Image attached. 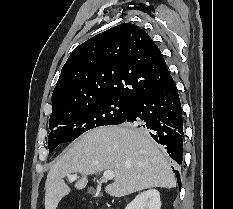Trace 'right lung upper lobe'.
<instances>
[{
    "instance_id": "1",
    "label": "right lung upper lobe",
    "mask_w": 233,
    "mask_h": 209,
    "mask_svg": "<svg viewBox=\"0 0 233 209\" xmlns=\"http://www.w3.org/2000/svg\"><path fill=\"white\" fill-rule=\"evenodd\" d=\"M170 73L158 46L139 26L123 23L76 47L52 95V114L109 98L132 101Z\"/></svg>"
}]
</instances>
